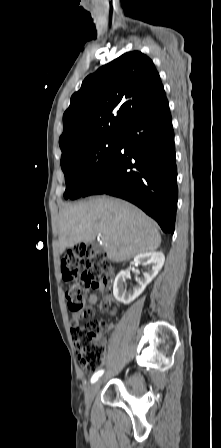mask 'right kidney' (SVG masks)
<instances>
[{
  "label": "right kidney",
  "instance_id": "ca27d5eb",
  "mask_svg": "<svg viewBox=\"0 0 221 448\" xmlns=\"http://www.w3.org/2000/svg\"><path fill=\"white\" fill-rule=\"evenodd\" d=\"M165 256L162 252H146L137 255L134 258V263L136 265H147L151 264V268L144 273V278L137 280V285L133 287L132 290L127 291L123 287V283L129 276V272L120 271L115 278L113 285V295L115 299L123 304H130L134 301L145 289V287L156 277L158 272L164 265Z\"/></svg>",
  "mask_w": 221,
  "mask_h": 448
}]
</instances>
